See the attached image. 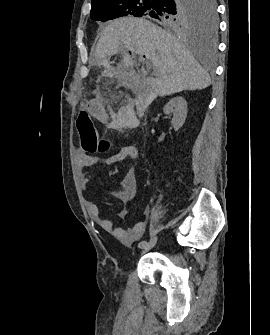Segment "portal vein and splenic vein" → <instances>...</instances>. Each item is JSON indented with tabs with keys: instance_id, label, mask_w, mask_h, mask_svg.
Here are the masks:
<instances>
[{
	"instance_id": "portal-vein-and-splenic-vein-1",
	"label": "portal vein and splenic vein",
	"mask_w": 270,
	"mask_h": 335,
	"mask_svg": "<svg viewBox=\"0 0 270 335\" xmlns=\"http://www.w3.org/2000/svg\"><path fill=\"white\" fill-rule=\"evenodd\" d=\"M139 61H142V58H139ZM143 62L147 67H151L153 65V62L151 60H148L147 58H144Z\"/></svg>"
}]
</instances>
